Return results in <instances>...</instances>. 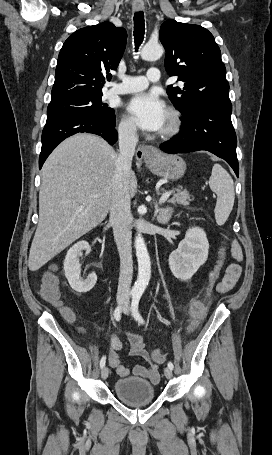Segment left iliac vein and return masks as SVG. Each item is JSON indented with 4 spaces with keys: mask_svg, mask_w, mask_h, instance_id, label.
Returning <instances> with one entry per match:
<instances>
[{
    "mask_svg": "<svg viewBox=\"0 0 272 455\" xmlns=\"http://www.w3.org/2000/svg\"><path fill=\"white\" fill-rule=\"evenodd\" d=\"M129 311H130L129 303L126 302L125 305H124V307H123V312H124L125 314H129ZM164 374H165V377H166L167 379H170V378L172 377V370H171L169 367H167V368H165V370H164Z\"/></svg>",
    "mask_w": 272,
    "mask_h": 455,
    "instance_id": "4c4485c4",
    "label": "left iliac vein"
}]
</instances>
